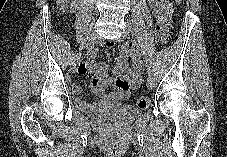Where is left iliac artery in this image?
Returning a JSON list of instances; mask_svg holds the SVG:
<instances>
[{
	"label": "left iliac artery",
	"mask_w": 227,
	"mask_h": 157,
	"mask_svg": "<svg viewBox=\"0 0 227 157\" xmlns=\"http://www.w3.org/2000/svg\"><path fill=\"white\" fill-rule=\"evenodd\" d=\"M131 29H132L131 31H133L134 34H137L138 33L137 26H132ZM151 73H152L151 67H149V65H148L147 66V74L148 75H151Z\"/></svg>",
	"instance_id": "left-iliac-artery-1"
}]
</instances>
